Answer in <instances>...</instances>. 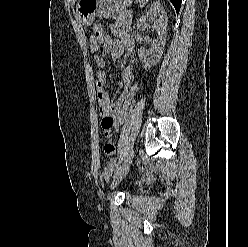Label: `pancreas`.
I'll return each mask as SVG.
<instances>
[{"label":"pancreas","instance_id":"cf45deb5","mask_svg":"<svg viewBox=\"0 0 248 247\" xmlns=\"http://www.w3.org/2000/svg\"><path fill=\"white\" fill-rule=\"evenodd\" d=\"M131 15L130 12L126 11L120 16H115L114 17V25L121 27V28H130L131 25Z\"/></svg>","mask_w":248,"mask_h":247}]
</instances>
